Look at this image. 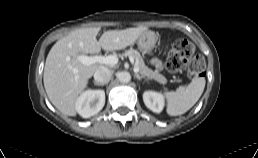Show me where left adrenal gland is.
<instances>
[{"label": "left adrenal gland", "instance_id": "obj_1", "mask_svg": "<svg viewBox=\"0 0 258 158\" xmlns=\"http://www.w3.org/2000/svg\"><path fill=\"white\" fill-rule=\"evenodd\" d=\"M135 77L138 79V80H142L144 78V76H140L138 75L137 73H135Z\"/></svg>", "mask_w": 258, "mask_h": 158}]
</instances>
